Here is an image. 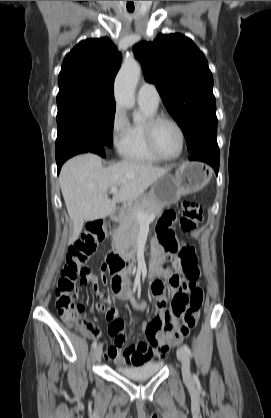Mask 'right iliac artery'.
I'll list each match as a JSON object with an SVG mask.
<instances>
[{
    "label": "right iliac artery",
    "instance_id": "1",
    "mask_svg": "<svg viewBox=\"0 0 271 418\" xmlns=\"http://www.w3.org/2000/svg\"><path fill=\"white\" fill-rule=\"evenodd\" d=\"M96 346H97V341H94V342L92 343V348H96Z\"/></svg>",
    "mask_w": 271,
    "mask_h": 418
}]
</instances>
